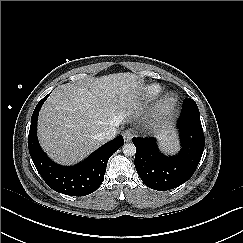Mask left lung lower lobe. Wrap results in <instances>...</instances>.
<instances>
[{"label": "left lung lower lobe", "mask_w": 243, "mask_h": 243, "mask_svg": "<svg viewBox=\"0 0 243 243\" xmlns=\"http://www.w3.org/2000/svg\"><path fill=\"white\" fill-rule=\"evenodd\" d=\"M181 151L176 156L159 152L153 137L133 138L135 168L143 183L154 190L166 191L180 186L194 174L204 150V133L197 105L183 103L178 119Z\"/></svg>", "instance_id": "left-lung-lower-lobe-1"}]
</instances>
